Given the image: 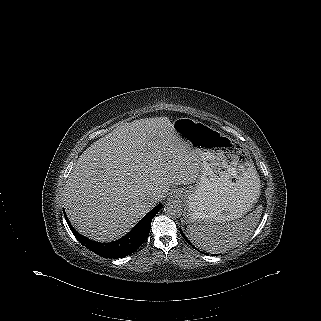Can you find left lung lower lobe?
Segmentation results:
<instances>
[{
	"label": "left lung lower lobe",
	"mask_w": 321,
	"mask_h": 321,
	"mask_svg": "<svg viewBox=\"0 0 321 321\" xmlns=\"http://www.w3.org/2000/svg\"><path fill=\"white\" fill-rule=\"evenodd\" d=\"M180 233H181L182 237H183L190 245H192V244L189 242V240L186 238V236L184 235V233L182 232L181 229H180Z\"/></svg>",
	"instance_id": "0a47b994"
}]
</instances>
